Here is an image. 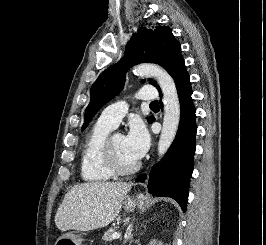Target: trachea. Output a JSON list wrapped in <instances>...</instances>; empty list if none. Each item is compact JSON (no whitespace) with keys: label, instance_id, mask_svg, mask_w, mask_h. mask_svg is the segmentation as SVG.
I'll return each mask as SVG.
<instances>
[{"label":"trachea","instance_id":"trachea-1","mask_svg":"<svg viewBox=\"0 0 266 245\" xmlns=\"http://www.w3.org/2000/svg\"><path fill=\"white\" fill-rule=\"evenodd\" d=\"M150 105H158V100H154Z\"/></svg>","mask_w":266,"mask_h":245}]
</instances>
